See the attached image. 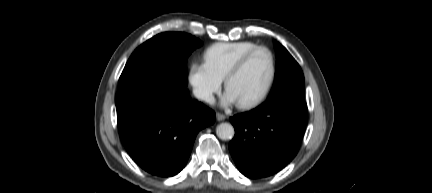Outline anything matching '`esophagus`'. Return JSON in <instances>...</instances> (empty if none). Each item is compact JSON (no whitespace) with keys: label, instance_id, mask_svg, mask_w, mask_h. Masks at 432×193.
Masks as SVG:
<instances>
[{"label":"esophagus","instance_id":"esophagus-1","mask_svg":"<svg viewBox=\"0 0 432 193\" xmlns=\"http://www.w3.org/2000/svg\"><path fill=\"white\" fill-rule=\"evenodd\" d=\"M216 119H217L218 121H223V120L226 119V116H225L224 114H222V113L217 112V113H216Z\"/></svg>","mask_w":432,"mask_h":193}]
</instances>
